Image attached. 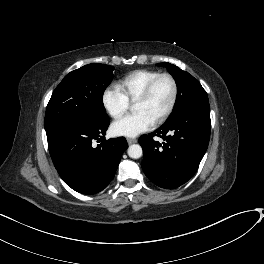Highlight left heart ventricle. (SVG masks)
<instances>
[{
  "label": "left heart ventricle",
  "mask_w": 264,
  "mask_h": 264,
  "mask_svg": "<svg viewBox=\"0 0 264 264\" xmlns=\"http://www.w3.org/2000/svg\"><path fill=\"white\" fill-rule=\"evenodd\" d=\"M172 97V84L168 78L160 79L150 97L134 104L135 112L146 113L153 121L157 120L167 109Z\"/></svg>",
  "instance_id": "1"
}]
</instances>
